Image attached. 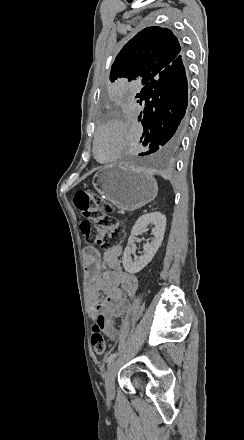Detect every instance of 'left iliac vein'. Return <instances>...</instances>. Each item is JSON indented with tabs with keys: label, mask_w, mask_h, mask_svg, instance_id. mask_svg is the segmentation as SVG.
Returning <instances> with one entry per match:
<instances>
[{
	"label": "left iliac vein",
	"mask_w": 244,
	"mask_h": 440,
	"mask_svg": "<svg viewBox=\"0 0 244 440\" xmlns=\"http://www.w3.org/2000/svg\"><path fill=\"white\" fill-rule=\"evenodd\" d=\"M118 368V360H114L108 366L106 375H105V389L106 396L108 398H113L115 396V377Z\"/></svg>",
	"instance_id": "1"
}]
</instances>
